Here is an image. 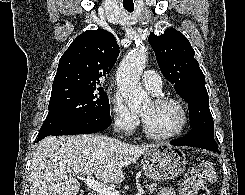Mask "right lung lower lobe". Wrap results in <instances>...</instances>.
<instances>
[{"label": "right lung lower lobe", "instance_id": "1", "mask_svg": "<svg viewBox=\"0 0 245 195\" xmlns=\"http://www.w3.org/2000/svg\"><path fill=\"white\" fill-rule=\"evenodd\" d=\"M111 125L110 114L97 113L71 123L65 124L56 130L49 132L44 135H39L37 138L38 142L47 136L57 135H73V134H90L107 129Z\"/></svg>", "mask_w": 245, "mask_h": 195}]
</instances>
